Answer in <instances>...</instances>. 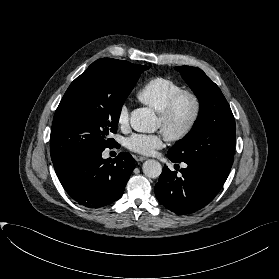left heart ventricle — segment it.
Segmentation results:
<instances>
[{
  "label": "left heart ventricle",
  "mask_w": 279,
  "mask_h": 279,
  "mask_svg": "<svg viewBox=\"0 0 279 279\" xmlns=\"http://www.w3.org/2000/svg\"><path fill=\"white\" fill-rule=\"evenodd\" d=\"M193 111L192 102L188 98H181L176 106L171 129L178 130L182 128L190 119ZM158 126L162 128L161 121L158 120Z\"/></svg>",
  "instance_id": "obj_1"
}]
</instances>
